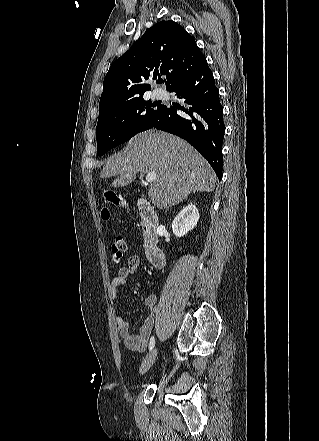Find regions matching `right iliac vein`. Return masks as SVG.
Segmentation results:
<instances>
[{
  "instance_id": "1",
  "label": "right iliac vein",
  "mask_w": 319,
  "mask_h": 441,
  "mask_svg": "<svg viewBox=\"0 0 319 441\" xmlns=\"http://www.w3.org/2000/svg\"><path fill=\"white\" fill-rule=\"evenodd\" d=\"M157 356V349L152 350L144 359V361L142 362L141 366H140V374H144L146 373L150 367L153 365V363L155 362Z\"/></svg>"
}]
</instances>
